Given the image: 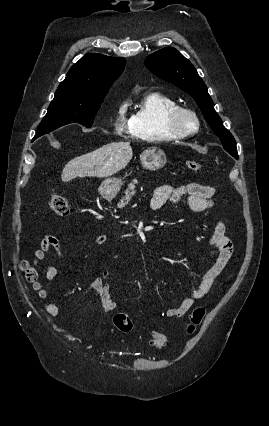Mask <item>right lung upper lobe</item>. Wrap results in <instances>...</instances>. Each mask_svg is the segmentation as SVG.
Returning a JSON list of instances; mask_svg holds the SVG:
<instances>
[{"label":"right lung upper lobe","instance_id":"right-lung-upper-lobe-1","mask_svg":"<svg viewBox=\"0 0 269 426\" xmlns=\"http://www.w3.org/2000/svg\"><path fill=\"white\" fill-rule=\"evenodd\" d=\"M125 63L124 58L86 54L71 67L55 95L87 99L106 96L113 82L123 72Z\"/></svg>","mask_w":269,"mask_h":426}]
</instances>
